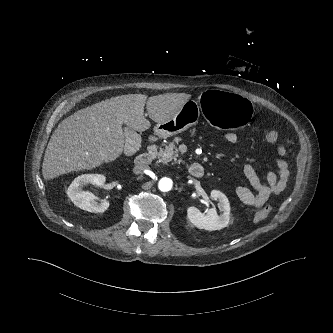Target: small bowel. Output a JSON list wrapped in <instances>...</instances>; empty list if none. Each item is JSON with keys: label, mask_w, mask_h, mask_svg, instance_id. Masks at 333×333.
I'll use <instances>...</instances> for the list:
<instances>
[{"label": "small bowel", "mask_w": 333, "mask_h": 333, "mask_svg": "<svg viewBox=\"0 0 333 333\" xmlns=\"http://www.w3.org/2000/svg\"><path fill=\"white\" fill-rule=\"evenodd\" d=\"M224 138L230 145H234L238 141V136L234 132L226 133ZM277 150L279 158L276 160V165L279 171L278 173L269 172L264 181L258 176L250 163L244 164L243 173L251 188L239 186L236 189V196L244 204L262 207L271 196L279 195L286 188L289 178L288 162L286 160L287 149L284 143H280Z\"/></svg>", "instance_id": "obj_1"}]
</instances>
